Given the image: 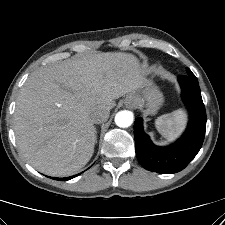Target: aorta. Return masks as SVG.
<instances>
[{
  "instance_id": "obj_1",
  "label": "aorta",
  "mask_w": 225,
  "mask_h": 225,
  "mask_svg": "<svg viewBox=\"0 0 225 225\" xmlns=\"http://www.w3.org/2000/svg\"><path fill=\"white\" fill-rule=\"evenodd\" d=\"M133 113L131 111L123 110L116 114L115 123L121 128H126L131 126L133 123Z\"/></svg>"
}]
</instances>
